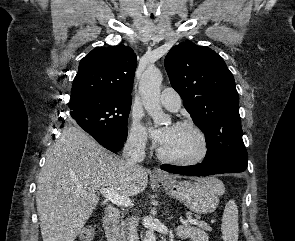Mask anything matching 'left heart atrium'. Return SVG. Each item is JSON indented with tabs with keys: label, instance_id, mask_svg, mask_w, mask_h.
<instances>
[{
	"label": "left heart atrium",
	"instance_id": "39dd6f15",
	"mask_svg": "<svg viewBox=\"0 0 295 241\" xmlns=\"http://www.w3.org/2000/svg\"><path fill=\"white\" fill-rule=\"evenodd\" d=\"M172 134V127L163 128L159 130H152V135L154 139L160 144L164 145Z\"/></svg>",
	"mask_w": 295,
	"mask_h": 241
}]
</instances>
